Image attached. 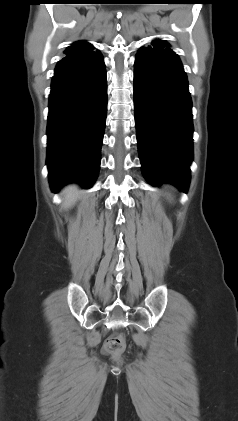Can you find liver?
Listing matches in <instances>:
<instances>
[{"mask_svg": "<svg viewBox=\"0 0 238 421\" xmlns=\"http://www.w3.org/2000/svg\"><path fill=\"white\" fill-rule=\"evenodd\" d=\"M63 195L65 197L64 206L69 208L76 202L79 196L78 189L74 185L68 186L63 190Z\"/></svg>", "mask_w": 238, "mask_h": 421, "instance_id": "liver-1", "label": "liver"}]
</instances>
